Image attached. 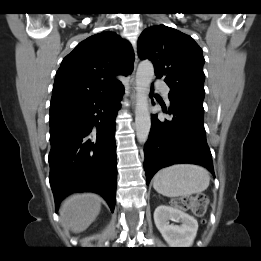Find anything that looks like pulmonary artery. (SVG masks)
<instances>
[{
    "label": "pulmonary artery",
    "instance_id": "obj_1",
    "mask_svg": "<svg viewBox=\"0 0 261 261\" xmlns=\"http://www.w3.org/2000/svg\"><path fill=\"white\" fill-rule=\"evenodd\" d=\"M154 87L161 92V94L163 95V97H164L165 99H168L169 88H168V86L164 83V81H162V80H156V81L154 82Z\"/></svg>",
    "mask_w": 261,
    "mask_h": 261
}]
</instances>
